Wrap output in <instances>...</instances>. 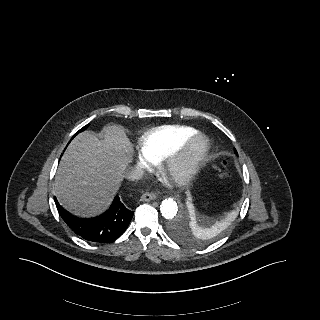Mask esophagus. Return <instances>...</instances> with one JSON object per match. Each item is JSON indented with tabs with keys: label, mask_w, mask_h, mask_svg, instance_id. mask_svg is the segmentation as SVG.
<instances>
[{
	"label": "esophagus",
	"mask_w": 320,
	"mask_h": 320,
	"mask_svg": "<svg viewBox=\"0 0 320 320\" xmlns=\"http://www.w3.org/2000/svg\"><path fill=\"white\" fill-rule=\"evenodd\" d=\"M157 198V194L156 193H153V192H145L140 200L143 201V202H148V201H151V200H154Z\"/></svg>",
	"instance_id": "obj_1"
}]
</instances>
